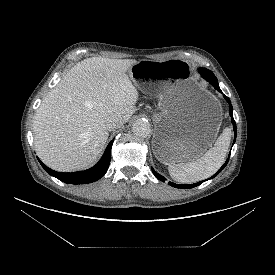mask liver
I'll return each mask as SVG.
<instances>
[{
    "mask_svg": "<svg viewBox=\"0 0 275 275\" xmlns=\"http://www.w3.org/2000/svg\"><path fill=\"white\" fill-rule=\"evenodd\" d=\"M132 59L92 57L75 65L43 99L34 117L38 157L60 172L81 170L102 153L106 121L124 123L135 113L139 93L127 72Z\"/></svg>",
    "mask_w": 275,
    "mask_h": 275,
    "instance_id": "1",
    "label": "liver"
}]
</instances>
